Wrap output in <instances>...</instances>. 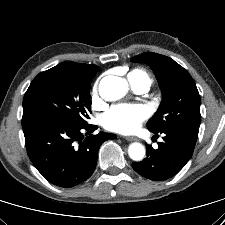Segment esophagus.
Instances as JSON below:
<instances>
[{
	"label": "esophagus",
	"mask_w": 225,
	"mask_h": 225,
	"mask_svg": "<svg viewBox=\"0 0 225 225\" xmlns=\"http://www.w3.org/2000/svg\"><path fill=\"white\" fill-rule=\"evenodd\" d=\"M125 139H126L127 141H138V140H139L138 138L133 137V136L125 137Z\"/></svg>",
	"instance_id": "esophagus-1"
}]
</instances>
